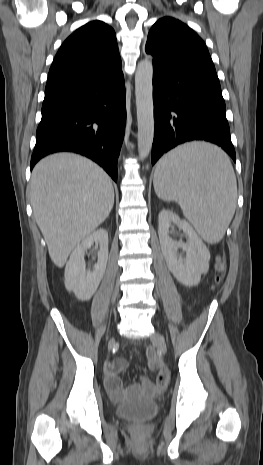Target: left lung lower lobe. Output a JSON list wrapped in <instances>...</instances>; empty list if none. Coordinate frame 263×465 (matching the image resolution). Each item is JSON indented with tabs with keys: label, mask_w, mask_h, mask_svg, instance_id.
Wrapping results in <instances>:
<instances>
[{
	"label": "left lung lower lobe",
	"mask_w": 263,
	"mask_h": 465,
	"mask_svg": "<svg viewBox=\"0 0 263 465\" xmlns=\"http://www.w3.org/2000/svg\"><path fill=\"white\" fill-rule=\"evenodd\" d=\"M153 66L152 164L175 146L193 140L217 144L236 161L216 72L171 65L156 58Z\"/></svg>",
	"instance_id": "left-lung-lower-lobe-1"
}]
</instances>
